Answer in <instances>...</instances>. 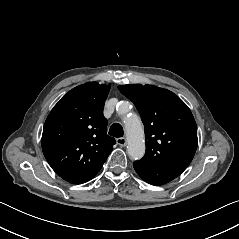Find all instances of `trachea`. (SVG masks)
Segmentation results:
<instances>
[{
    "label": "trachea",
    "mask_w": 239,
    "mask_h": 239,
    "mask_svg": "<svg viewBox=\"0 0 239 239\" xmlns=\"http://www.w3.org/2000/svg\"><path fill=\"white\" fill-rule=\"evenodd\" d=\"M109 135L113 137H122L124 135V130L119 123H114L109 129Z\"/></svg>",
    "instance_id": "obj_1"
}]
</instances>
